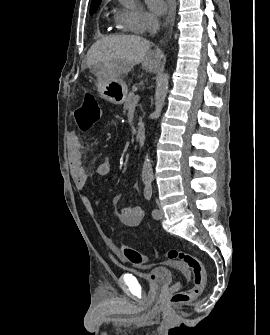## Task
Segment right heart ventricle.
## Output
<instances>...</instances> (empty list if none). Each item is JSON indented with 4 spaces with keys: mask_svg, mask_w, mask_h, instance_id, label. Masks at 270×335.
Instances as JSON below:
<instances>
[{
    "mask_svg": "<svg viewBox=\"0 0 270 335\" xmlns=\"http://www.w3.org/2000/svg\"><path fill=\"white\" fill-rule=\"evenodd\" d=\"M113 22H114V24L117 25L118 27L123 28V27L121 26L120 22H119V19H118L117 14L114 15V17H113ZM160 78H166V82H168V81H169V73L166 72V77H160Z\"/></svg>",
    "mask_w": 270,
    "mask_h": 335,
    "instance_id": "obj_1",
    "label": "right heart ventricle"
}]
</instances>
